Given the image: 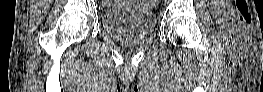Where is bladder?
Instances as JSON below:
<instances>
[{
    "mask_svg": "<svg viewBox=\"0 0 263 92\" xmlns=\"http://www.w3.org/2000/svg\"><path fill=\"white\" fill-rule=\"evenodd\" d=\"M125 6L111 7L102 14V24L109 35L125 45H137L154 31L156 21L149 8L137 7V1H124Z\"/></svg>",
    "mask_w": 263,
    "mask_h": 92,
    "instance_id": "31cf9c89",
    "label": "bladder"
}]
</instances>
